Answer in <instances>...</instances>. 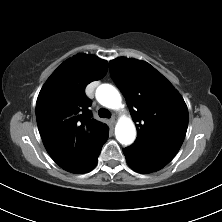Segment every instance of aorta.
Here are the masks:
<instances>
[{
	"instance_id": "obj_1",
	"label": "aorta",
	"mask_w": 222,
	"mask_h": 222,
	"mask_svg": "<svg viewBox=\"0 0 222 222\" xmlns=\"http://www.w3.org/2000/svg\"><path fill=\"white\" fill-rule=\"evenodd\" d=\"M96 99L101 105L110 109H119L121 107L120 93L110 84H102L97 88ZM115 135L121 144H131L136 136L133 121L128 117H121L115 127Z\"/></svg>"
}]
</instances>
